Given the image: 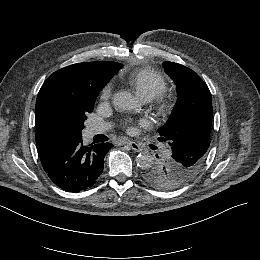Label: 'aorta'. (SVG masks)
Returning <instances> with one entry per match:
<instances>
[{
	"mask_svg": "<svg viewBox=\"0 0 260 260\" xmlns=\"http://www.w3.org/2000/svg\"><path fill=\"white\" fill-rule=\"evenodd\" d=\"M113 103L120 111H130L138 107L136 98L126 91H119L114 94ZM154 162L153 156L148 152H142L136 157V164L141 169L151 167Z\"/></svg>",
	"mask_w": 260,
	"mask_h": 260,
	"instance_id": "762f6f07",
	"label": "aorta"
}]
</instances>
